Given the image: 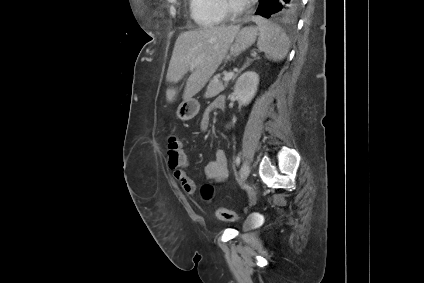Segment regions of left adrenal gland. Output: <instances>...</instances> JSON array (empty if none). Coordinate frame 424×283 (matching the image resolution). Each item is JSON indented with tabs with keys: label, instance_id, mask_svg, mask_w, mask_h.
Returning a JSON list of instances; mask_svg holds the SVG:
<instances>
[{
	"label": "left adrenal gland",
	"instance_id": "left-adrenal-gland-1",
	"mask_svg": "<svg viewBox=\"0 0 424 283\" xmlns=\"http://www.w3.org/2000/svg\"><path fill=\"white\" fill-rule=\"evenodd\" d=\"M253 61V60H251ZM251 61L247 62L237 73L236 75H234L233 79H235L239 73H241V71H243L246 67H248V65H250Z\"/></svg>",
	"mask_w": 424,
	"mask_h": 283
}]
</instances>
